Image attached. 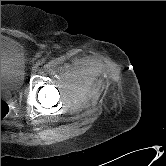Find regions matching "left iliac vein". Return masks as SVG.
<instances>
[{
    "instance_id": "4c4485c4",
    "label": "left iliac vein",
    "mask_w": 166,
    "mask_h": 166,
    "mask_svg": "<svg viewBox=\"0 0 166 166\" xmlns=\"http://www.w3.org/2000/svg\"><path fill=\"white\" fill-rule=\"evenodd\" d=\"M32 69H33V71H37L38 70V65L37 64L33 65Z\"/></svg>"
}]
</instances>
